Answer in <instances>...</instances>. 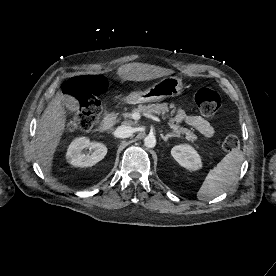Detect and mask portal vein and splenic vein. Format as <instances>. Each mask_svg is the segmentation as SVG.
<instances>
[{
  "instance_id": "1",
  "label": "portal vein and splenic vein",
  "mask_w": 276,
  "mask_h": 276,
  "mask_svg": "<svg viewBox=\"0 0 276 276\" xmlns=\"http://www.w3.org/2000/svg\"><path fill=\"white\" fill-rule=\"evenodd\" d=\"M143 115L147 118L154 120V121H157V122L160 121V119L157 116L151 115L149 113H144ZM132 117H133V119L138 120V119H140L141 115H140V113H134Z\"/></svg>"
}]
</instances>
